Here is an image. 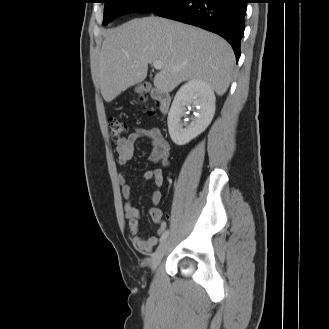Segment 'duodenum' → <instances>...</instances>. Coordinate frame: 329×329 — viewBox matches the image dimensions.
<instances>
[{"mask_svg": "<svg viewBox=\"0 0 329 329\" xmlns=\"http://www.w3.org/2000/svg\"><path fill=\"white\" fill-rule=\"evenodd\" d=\"M152 97L159 102V108L162 113H166L169 109L171 98L170 96L160 90L152 89Z\"/></svg>", "mask_w": 329, "mask_h": 329, "instance_id": "410a0bca", "label": "duodenum"}]
</instances>
